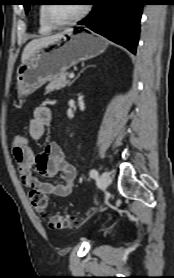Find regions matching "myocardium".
Masks as SVG:
<instances>
[{
  "instance_id": "myocardium-1",
  "label": "myocardium",
  "mask_w": 174,
  "mask_h": 278,
  "mask_svg": "<svg viewBox=\"0 0 174 278\" xmlns=\"http://www.w3.org/2000/svg\"><path fill=\"white\" fill-rule=\"evenodd\" d=\"M50 8H51V5H48V4L44 5L43 16H44L45 21L52 28H61V27H65V26L74 24V23L78 22L79 20H81L82 18H84L88 14L90 6L88 4L83 5V8L76 16H74L73 18L68 19L66 21H56L55 19H53V17L50 14Z\"/></svg>"
}]
</instances>
